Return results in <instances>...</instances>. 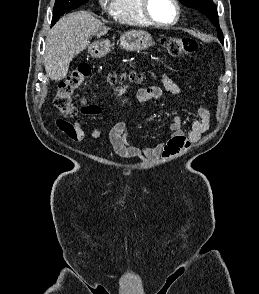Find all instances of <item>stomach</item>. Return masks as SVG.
<instances>
[{
  "mask_svg": "<svg viewBox=\"0 0 259 294\" xmlns=\"http://www.w3.org/2000/svg\"><path fill=\"white\" fill-rule=\"evenodd\" d=\"M152 45V36L146 31L133 30L122 34L120 37V47L126 51L145 50ZM110 47L108 40L97 41L89 46V53L95 58L102 57L110 51Z\"/></svg>",
  "mask_w": 259,
  "mask_h": 294,
  "instance_id": "1",
  "label": "stomach"
}]
</instances>
